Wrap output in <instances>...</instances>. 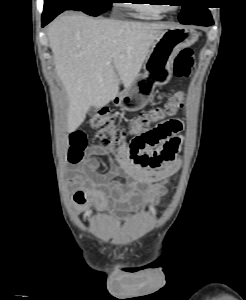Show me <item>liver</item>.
<instances>
[{
	"label": "liver",
	"mask_w": 246,
	"mask_h": 300,
	"mask_svg": "<svg viewBox=\"0 0 246 300\" xmlns=\"http://www.w3.org/2000/svg\"><path fill=\"white\" fill-rule=\"evenodd\" d=\"M173 26L66 14L47 29L57 75L69 101L67 130L75 131L91 107L101 108L130 87L150 48Z\"/></svg>",
	"instance_id": "1"
}]
</instances>
